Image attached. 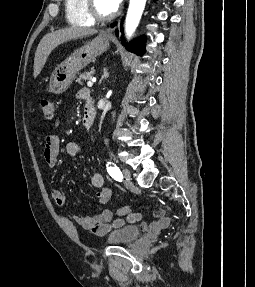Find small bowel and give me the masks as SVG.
I'll return each mask as SVG.
<instances>
[{
    "instance_id": "obj_1",
    "label": "small bowel",
    "mask_w": 255,
    "mask_h": 287,
    "mask_svg": "<svg viewBox=\"0 0 255 287\" xmlns=\"http://www.w3.org/2000/svg\"><path fill=\"white\" fill-rule=\"evenodd\" d=\"M81 98V93L78 95ZM58 125V122L55 123ZM65 153L69 156H78L83 153L82 147L76 142H68L65 145ZM60 152V138L56 134H49L45 138L44 160L49 168L55 167L58 155ZM90 181L93 187L100 190L96 194L97 204L99 206L107 204L112 196V191L108 187H104V177L100 172H93L90 176ZM52 199L57 207H63L66 199L60 189L54 188L51 191ZM155 220L148 223L144 220L143 215L139 212H132L124 218L114 219L113 211L104 209L93 216H77L72 217V221L84 229L90 230L96 235H104L113 228L122 226L126 223H139L144 230L152 233H160L168 228L170 218L166 216L163 209L154 211ZM62 220L66 224H71V221L64 215H61Z\"/></svg>"
}]
</instances>
